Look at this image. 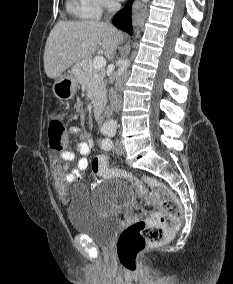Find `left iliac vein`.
Instances as JSON below:
<instances>
[{
    "label": "left iliac vein",
    "instance_id": "obj_1",
    "mask_svg": "<svg viewBox=\"0 0 233 284\" xmlns=\"http://www.w3.org/2000/svg\"><path fill=\"white\" fill-rule=\"evenodd\" d=\"M113 150L116 154H124L125 148L123 143L119 139L114 142Z\"/></svg>",
    "mask_w": 233,
    "mask_h": 284
}]
</instances>
